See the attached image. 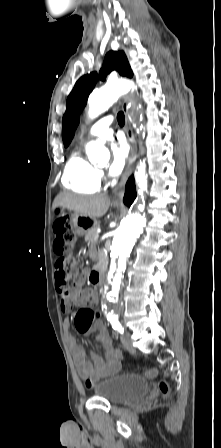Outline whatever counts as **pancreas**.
<instances>
[{
  "label": "pancreas",
  "instance_id": "cf45deb5",
  "mask_svg": "<svg viewBox=\"0 0 221 448\" xmlns=\"http://www.w3.org/2000/svg\"><path fill=\"white\" fill-rule=\"evenodd\" d=\"M95 228L96 226L86 233L85 241L90 242L91 250L96 254L97 259L101 261L103 252L101 250L97 252L96 250L98 238L96 239L97 232L94 230Z\"/></svg>",
  "mask_w": 221,
  "mask_h": 448
}]
</instances>
